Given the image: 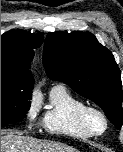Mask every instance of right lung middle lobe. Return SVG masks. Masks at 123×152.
<instances>
[{"label": "right lung middle lobe", "mask_w": 123, "mask_h": 152, "mask_svg": "<svg viewBox=\"0 0 123 152\" xmlns=\"http://www.w3.org/2000/svg\"><path fill=\"white\" fill-rule=\"evenodd\" d=\"M33 86L1 75V126L21 121L31 105Z\"/></svg>", "instance_id": "1"}]
</instances>
